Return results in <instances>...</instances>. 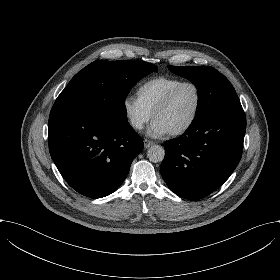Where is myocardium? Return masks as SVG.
<instances>
[{
  "mask_svg": "<svg viewBox=\"0 0 280 280\" xmlns=\"http://www.w3.org/2000/svg\"><path fill=\"white\" fill-rule=\"evenodd\" d=\"M185 85H193L196 88L197 97H198L197 106L194 115L192 116L190 121H188L185 125L171 131L173 135H180L187 132L197 122L203 106V90L200 84L194 80H183L176 87H174L172 90L169 91V93L164 97V99L158 104V106L156 107L153 113L154 117H156L162 110L167 108L171 104L177 92Z\"/></svg>",
  "mask_w": 280,
  "mask_h": 280,
  "instance_id": "myocardium-1",
  "label": "myocardium"
}]
</instances>
